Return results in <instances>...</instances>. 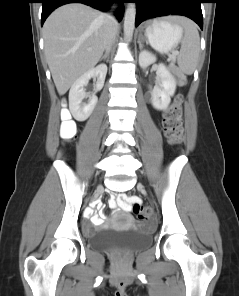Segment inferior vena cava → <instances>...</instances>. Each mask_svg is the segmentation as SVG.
<instances>
[{"label":"inferior vena cava","instance_id":"602c4592","mask_svg":"<svg viewBox=\"0 0 239 296\" xmlns=\"http://www.w3.org/2000/svg\"><path fill=\"white\" fill-rule=\"evenodd\" d=\"M113 8H115V6H113ZM105 17L107 20L105 49L107 51L111 48L112 42L115 38L117 32V21L110 13L105 14Z\"/></svg>","mask_w":239,"mask_h":296}]
</instances>
